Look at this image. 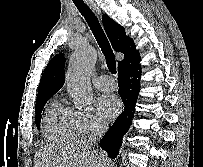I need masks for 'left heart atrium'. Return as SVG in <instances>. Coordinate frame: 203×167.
Listing matches in <instances>:
<instances>
[{"label":"left heart atrium","mask_w":203,"mask_h":167,"mask_svg":"<svg viewBox=\"0 0 203 167\" xmlns=\"http://www.w3.org/2000/svg\"><path fill=\"white\" fill-rule=\"evenodd\" d=\"M121 108L120 100L113 94L101 95L97 100V110L100 117L109 121L119 113Z\"/></svg>","instance_id":"39dd6f15"}]
</instances>
